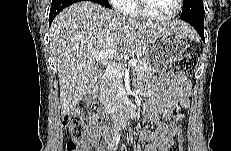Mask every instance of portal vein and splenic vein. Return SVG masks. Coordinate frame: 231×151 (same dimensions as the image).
<instances>
[{"label":"portal vein and splenic vein","instance_id":"obj_1","mask_svg":"<svg viewBox=\"0 0 231 151\" xmlns=\"http://www.w3.org/2000/svg\"><path fill=\"white\" fill-rule=\"evenodd\" d=\"M115 51V48H111L106 51L100 52H92V55L95 57L96 61L104 65L108 71L116 74L121 75L123 73L124 68L127 65L118 64L112 61L107 60L106 58ZM137 59H132L128 62V66L134 67L137 64Z\"/></svg>","mask_w":231,"mask_h":151}]
</instances>
